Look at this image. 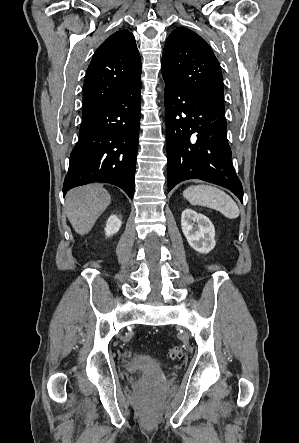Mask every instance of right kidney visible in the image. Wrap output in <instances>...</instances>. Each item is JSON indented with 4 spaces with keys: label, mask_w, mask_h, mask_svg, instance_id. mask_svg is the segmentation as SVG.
Segmentation results:
<instances>
[{
    "label": "right kidney",
    "mask_w": 299,
    "mask_h": 443,
    "mask_svg": "<svg viewBox=\"0 0 299 443\" xmlns=\"http://www.w3.org/2000/svg\"><path fill=\"white\" fill-rule=\"evenodd\" d=\"M121 220L116 215H111L106 223L105 227V234L106 236H111L118 232L119 228L121 227Z\"/></svg>",
    "instance_id": "1"
}]
</instances>
